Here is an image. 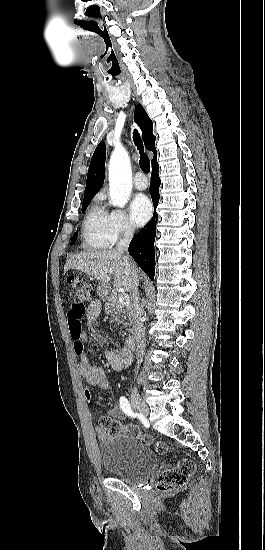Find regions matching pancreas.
Wrapping results in <instances>:
<instances>
[{"mask_svg":"<svg viewBox=\"0 0 265 550\" xmlns=\"http://www.w3.org/2000/svg\"><path fill=\"white\" fill-rule=\"evenodd\" d=\"M118 299V294H112L107 299L105 311L110 316H117L120 319V322L124 323L125 328L130 327L133 320V306L131 303L127 305L120 304ZM122 335L124 336L123 333Z\"/></svg>","mask_w":265,"mask_h":550,"instance_id":"1","label":"pancreas"}]
</instances>
